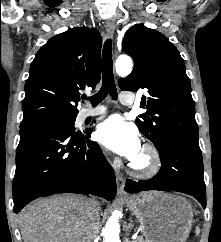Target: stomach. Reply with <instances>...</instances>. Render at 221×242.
<instances>
[{
  "label": "stomach",
  "instance_id": "1",
  "mask_svg": "<svg viewBox=\"0 0 221 242\" xmlns=\"http://www.w3.org/2000/svg\"><path fill=\"white\" fill-rule=\"evenodd\" d=\"M125 202L138 218L146 242H184L188 237L193 211L185 198L149 191L132 196Z\"/></svg>",
  "mask_w": 221,
  "mask_h": 242
}]
</instances>
